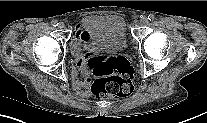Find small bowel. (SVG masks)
<instances>
[{"mask_svg":"<svg viewBox=\"0 0 207 123\" xmlns=\"http://www.w3.org/2000/svg\"><path fill=\"white\" fill-rule=\"evenodd\" d=\"M79 33L80 29L78 26L77 39L71 45V52L76 57V64L72 68V87L79 96L88 97L90 95L91 88V71L88 67V61L91 57V54H81L78 43ZM79 73H82L84 76L83 80L79 78Z\"/></svg>","mask_w":207,"mask_h":123,"instance_id":"obj_1","label":"small bowel"}]
</instances>
